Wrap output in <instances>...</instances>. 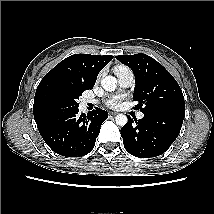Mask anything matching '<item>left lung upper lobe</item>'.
<instances>
[{
	"label": "left lung upper lobe",
	"instance_id": "left-lung-upper-lobe-1",
	"mask_svg": "<svg viewBox=\"0 0 214 214\" xmlns=\"http://www.w3.org/2000/svg\"><path fill=\"white\" fill-rule=\"evenodd\" d=\"M116 58L129 66L135 76L134 101L144 114L185 116L184 97L173 76L146 54L120 55Z\"/></svg>",
	"mask_w": 214,
	"mask_h": 214
}]
</instances>
